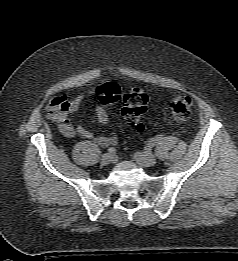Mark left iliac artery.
<instances>
[{
	"label": "left iliac artery",
	"instance_id": "44dca946",
	"mask_svg": "<svg viewBox=\"0 0 238 261\" xmlns=\"http://www.w3.org/2000/svg\"><path fill=\"white\" fill-rule=\"evenodd\" d=\"M163 139H164L163 135H157L154 138L150 139L149 145L155 146V145L159 144L160 142H162Z\"/></svg>",
	"mask_w": 238,
	"mask_h": 261
}]
</instances>
